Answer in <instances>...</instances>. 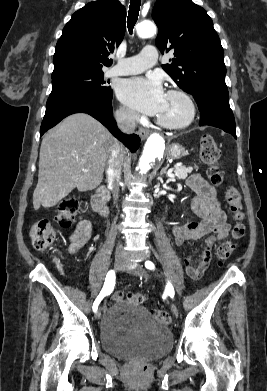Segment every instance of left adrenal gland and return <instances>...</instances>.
<instances>
[{
	"mask_svg": "<svg viewBox=\"0 0 267 391\" xmlns=\"http://www.w3.org/2000/svg\"><path fill=\"white\" fill-rule=\"evenodd\" d=\"M169 167V164H167L166 167H164L161 171H160V176H162L163 174H165L167 177H168V174H167V169Z\"/></svg>",
	"mask_w": 267,
	"mask_h": 391,
	"instance_id": "left-adrenal-gland-1",
	"label": "left adrenal gland"
}]
</instances>
